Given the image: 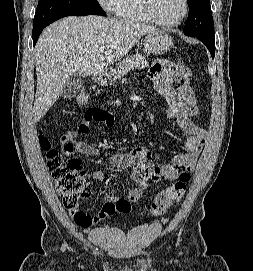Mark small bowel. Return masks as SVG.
Instances as JSON below:
<instances>
[{"label": "small bowel", "mask_w": 253, "mask_h": 271, "mask_svg": "<svg viewBox=\"0 0 253 271\" xmlns=\"http://www.w3.org/2000/svg\"><path fill=\"white\" fill-rule=\"evenodd\" d=\"M150 77L154 81L156 91L162 96L167 111L165 117L175 120L178 126L186 134L184 152L173 157L167 163L155 166L152 164V152L146 146L135 148L129 153H115L110 159V163L117 169H131V178L136 186L128 190L124 197L129 201H137L149 182L161 180L179 179L183 174L192 171L197 163V159L203 143L207 138L206 132L192 120L198 112L195 95L188 84L190 72H185L179 66L161 60L153 64L149 70ZM180 86L173 88V83ZM110 119L98 121L107 127H114L115 117L109 113ZM95 121L87 115L78 126L71 132L64 134L61 138L62 149L67 155H100L101 150L87 142L76 140L77 135L87 132L92 122ZM96 180H103L105 173L101 170L92 174ZM120 197L114 192L105 195L106 203L94 216L96 221L105 219L114 213V210L107 205L115 203Z\"/></svg>", "instance_id": "1"}]
</instances>
